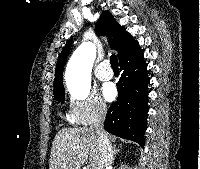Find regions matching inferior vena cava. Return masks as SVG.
I'll return each instance as SVG.
<instances>
[{"instance_id":"obj_1","label":"inferior vena cava","mask_w":200,"mask_h":169,"mask_svg":"<svg viewBox=\"0 0 200 169\" xmlns=\"http://www.w3.org/2000/svg\"><path fill=\"white\" fill-rule=\"evenodd\" d=\"M106 112V106L100 105L97 109L94 123L91 126V130H93L98 137L100 147V157L96 169H109L113 163V148L103 127Z\"/></svg>"}]
</instances>
